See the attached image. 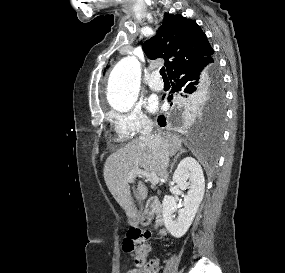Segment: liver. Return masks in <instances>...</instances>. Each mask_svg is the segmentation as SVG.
<instances>
[{
    "label": "liver",
    "mask_w": 285,
    "mask_h": 273,
    "mask_svg": "<svg viewBox=\"0 0 285 273\" xmlns=\"http://www.w3.org/2000/svg\"><path fill=\"white\" fill-rule=\"evenodd\" d=\"M162 144L168 158L182 150V140L175 134L165 133L161 135ZM142 168L147 172H154L164 182L168 179V172L158 158L156 148L149 142L135 139L124 147L111 154L104 164L105 183L118 202L125 210L129 219L136 223L138 211L131 196L129 172L132 169ZM136 199L145 200L148 190L142 181H139L136 188Z\"/></svg>",
    "instance_id": "6515ba94"
}]
</instances>
